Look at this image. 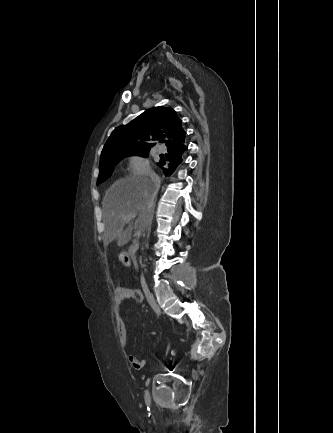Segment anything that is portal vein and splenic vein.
Here are the masks:
<instances>
[{"label": "portal vein and splenic vein", "mask_w": 333, "mask_h": 433, "mask_svg": "<svg viewBox=\"0 0 333 433\" xmlns=\"http://www.w3.org/2000/svg\"><path fill=\"white\" fill-rule=\"evenodd\" d=\"M135 217H136V213H129V214H127V216L125 217V221H126V222H130V221L133 220ZM135 236L139 239L140 236H141V231L137 230V231L135 232ZM133 244H134V247L138 246V241L135 240V241L133 242Z\"/></svg>", "instance_id": "portal-vein-and-splenic-vein-1"}]
</instances>
